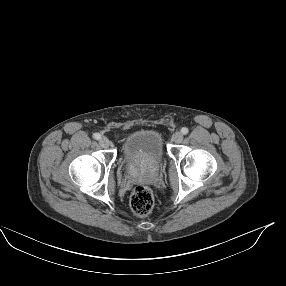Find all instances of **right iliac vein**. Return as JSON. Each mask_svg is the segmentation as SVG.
Here are the masks:
<instances>
[{
    "instance_id": "1",
    "label": "right iliac vein",
    "mask_w": 286,
    "mask_h": 286,
    "mask_svg": "<svg viewBox=\"0 0 286 286\" xmlns=\"http://www.w3.org/2000/svg\"><path fill=\"white\" fill-rule=\"evenodd\" d=\"M100 145L104 148L108 147L110 145V141L107 137H102L99 141Z\"/></svg>"
}]
</instances>
